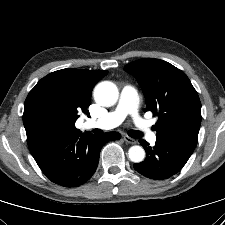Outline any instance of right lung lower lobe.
Returning a JSON list of instances; mask_svg holds the SVG:
<instances>
[{"label":"right lung lower lobe","instance_id":"98d812e1","mask_svg":"<svg viewBox=\"0 0 225 225\" xmlns=\"http://www.w3.org/2000/svg\"><path fill=\"white\" fill-rule=\"evenodd\" d=\"M118 132L103 136L63 134L50 138L30 150L42 172L63 187H78L95 173L99 154L105 143L119 140Z\"/></svg>","mask_w":225,"mask_h":225}]
</instances>
